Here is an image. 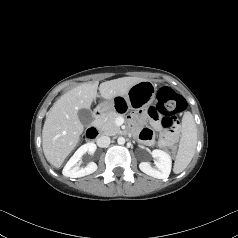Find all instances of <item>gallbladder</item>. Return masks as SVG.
Returning <instances> with one entry per match:
<instances>
[{"label": "gallbladder", "mask_w": 238, "mask_h": 238, "mask_svg": "<svg viewBox=\"0 0 238 238\" xmlns=\"http://www.w3.org/2000/svg\"><path fill=\"white\" fill-rule=\"evenodd\" d=\"M78 117L83 126H88L93 121L92 112L88 109H80L78 111Z\"/></svg>", "instance_id": "obj_1"}]
</instances>
